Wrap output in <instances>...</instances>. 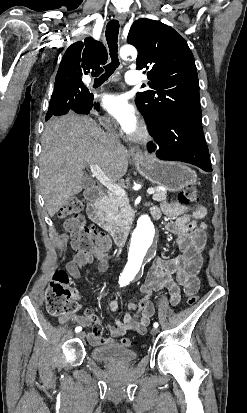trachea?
Instances as JSON below:
<instances>
[{"label":"trachea","instance_id":"obj_1","mask_svg":"<svg viewBox=\"0 0 247 413\" xmlns=\"http://www.w3.org/2000/svg\"><path fill=\"white\" fill-rule=\"evenodd\" d=\"M119 34V22L118 20H111L106 27V40L110 50L111 63L104 67L105 73L97 80H107L110 75L119 67V59L117 54V38Z\"/></svg>","mask_w":247,"mask_h":413}]
</instances>
